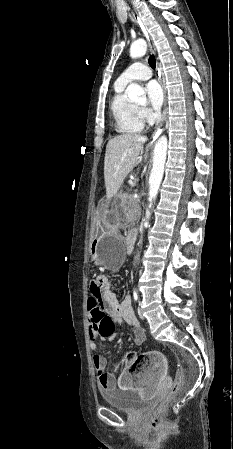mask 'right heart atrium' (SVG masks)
I'll use <instances>...</instances> for the list:
<instances>
[{
	"instance_id": "1",
	"label": "right heart atrium",
	"mask_w": 233,
	"mask_h": 449,
	"mask_svg": "<svg viewBox=\"0 0 233 449\" xmlns=\"http://www.w3.org/2000/svg\"><path fill=\"white\" fill-rule=\"evenodd\" d=\"M140 112L145 120L148 122H152L155 119V114L148 108L142 107L140 108Z\"/></svg>"
}]
</instances>
